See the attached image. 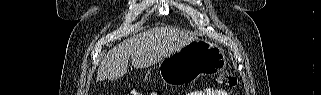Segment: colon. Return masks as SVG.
Returning a JSON list of instances; mask_svg holds the SVG:
<instances>
[{"instance_id":"1","label":"colon","mask_w":321,"mask_h":95,"mask_svg":"<svg viewBox=\"0 0 321 95\" xmlns=\"http://www.w3.org/2000/svg\"><path fill=\"white\" fill-rule=\"evenodd\" d=\"M217 81L219 84L223 86H235L237 84V79L230 73L228 72H222L219 74ZM133 95H140L139 92L133 91Z\"/></svg>"}]
</instances>
